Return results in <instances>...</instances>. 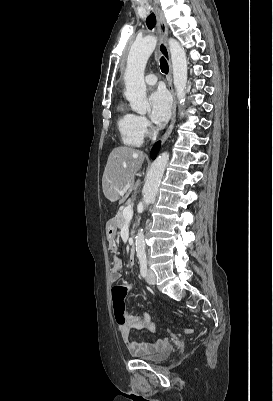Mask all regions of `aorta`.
Returning <instances> with one entry per match:
<instances>
[{
    "mask_svg": "<svg viewBox=\"0 0 273 401\" xmlns=\"http://www.w3.org/2000/svg\"><path fill=\"white\" fill-rule=\"evenodd\" d=\"M157 44L155 36H146L136 41L129 52L126 71L124 74L125 96L130 102L133 111L145 114L149 109L146 97V84L144 82V71L147 61ZM171 62L173 69V83L176 96L180 103L185 101V90L187 84V59L185 50L175 39L168 40ZM169 161V153L164 152L157 156L152 163L143 187L145 205L151 204L157 195V191ZM136 255L138 259L146 258L145 238L143 230L139 229L135 238Z\"/></svg>",
    "mask_w": 273,
    "mask_h": 401,
    "instance_id": "obj_1",
    "label": "aorta"
}]
</instances>
